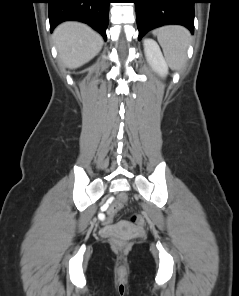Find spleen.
Returning a JSON list of instances; mask_svg holds the SVG:
<instances>
[{
  "instance_id": "3e777b00",
  "label": "spleen",
  "mask_w": 239,
  "mask_h": 296,
  "mask_svg": "<svg viewBox=\"0 0 239 296\" xmlns=\"http://www.w3.org/2000/svg\"><path fill=\"white\" fill-rule=\"evenodd\" d=\"M165 59L173 70H180L186 62L190 42L189 31L181 26H165L154 31Z\"/></svg>"
}]
</instances>
